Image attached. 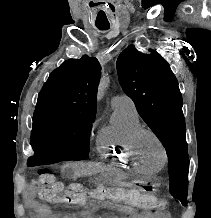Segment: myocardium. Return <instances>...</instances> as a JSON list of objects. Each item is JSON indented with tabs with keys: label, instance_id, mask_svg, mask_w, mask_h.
Wrapping results in <instances>:
<instances>
[{
	"label": "myocardium",
	"instance_id": "obj_1",
	"mask_svg": "<svg viewBox=\"0 0 211 218\" xmlns=\"http://www.w3.org/2000/svg\"><path fill=\"white\" fill-rule=\"evenodd\" d=\"M144 135H150L151 137H153L155 139V141L159 145V148L161 151V162L159 164V167L163 166L165 164L166 158H167L164 144H163L162 140L160 139V137L157 135V133L149 128L140 127L134 132L133 138H132L133 147H134V155L139 157L138 148L140 146L141 139ZM140 163L146 164V162H144L142 159H140Z\"/></svg>",
	"mask_w": 211,
	"mask_h": 218
}]
</instances>
